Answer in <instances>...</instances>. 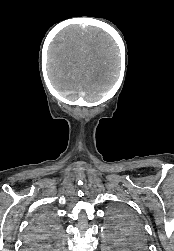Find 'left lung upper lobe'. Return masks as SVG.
<instances>
[{
	"instance_id": "1",
	"label": "left lung upper lobe",
	"mask_w": 174,
	"mask_h": 251,
	"mask_svg": "<svg viewBox=\"0 0 174 251\" xmlns=\"http://www.w3.org/2000/svg\"><path fill=\"white\" fill-rule=\"evenodd\" d=\"M109 230L113 240L123 239L138 250L146 247L143 228L126 207L119 206L110 211Z\"/></svg>"
}]
</instances>
